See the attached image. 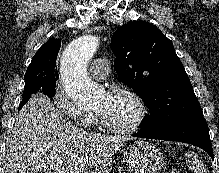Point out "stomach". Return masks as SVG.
Returning a JSON list of instances; mask_svg holds the SVG:
<instances>
[{"instance_id": "stomach-1", "label": "stomach", "mask_w": 219, "mask_h": 173, "mask_svg": "<svg viewBox=\"0 0 219 173\" xmlns=\"http://www.w3.org/2000/svg\"><path fill=\"white\" fill-rule=\"evenodd\" d=\"M124 160L132 173H157L164 165L162 152L143 140L127 147Z\"/></svg>"}]
</instances>
